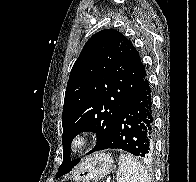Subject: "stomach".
<instances>
[{"label":"stomach","instance_id":"obj_1","mask_svg":"<svg viewBox=\"0 0 196 182\" xmlns=\"http://www.w3.org/2000/svg\"><path fill=\"white\" fill-rule=\"evenodd\" d=\"M113 163L114 160L109 153H94L80 163L72 180L73 182L98 181L110 173Z\"/></svg>","mask_w":196,"mask_h":182}]
</instances>
